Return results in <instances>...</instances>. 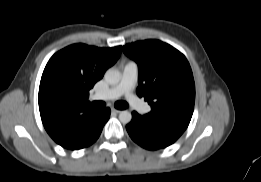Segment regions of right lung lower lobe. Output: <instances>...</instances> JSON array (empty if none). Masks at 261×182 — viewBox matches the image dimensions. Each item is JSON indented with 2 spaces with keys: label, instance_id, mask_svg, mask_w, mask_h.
I'll return each mask as SVG.
<instances>
[{
  "label": "right lung lower lobe",
  "instance_id": "98d812e1",
  "mask_svg": "<svg viewBox=\"0 0 261 182\" xmlns=\"http://www.w3.org/2000/svg\"><path fill=\"white\" fill-rule=\"evenodd\" d=\"M110 117V109L97 110L92 115L86 117L78 125V129L70 142L62 147L66 149L76 150L82 149L93 144L103 129V126Z\"/></svg>",
  "mask_w": 261,
  "mask_h": 182
}]
</instances>
